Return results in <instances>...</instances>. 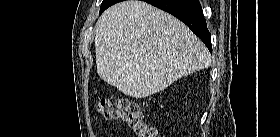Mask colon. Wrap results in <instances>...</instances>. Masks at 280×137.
I'll list each match as a JSON object with an SVG mask.
<instances>
[{
  "instance_id": "obj_1",
  "label": "colon",
  "mask_w": 280,
  "mask_h": 137,
  "mask_svg": "<svg viewBox=\"0 0 280 137\" xmlns=\"http://www.w3.org/2000/svg\"><path fill=\"white\" fill-rule=\"evenodd\" d=\"M105 119H121L137 137H157V129L147 123L138 103L118 97H104L96 105Z\"/></svg>"
}]
</instances>
